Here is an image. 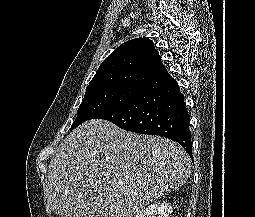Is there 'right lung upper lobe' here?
Segmentation results:
<instances>
[{"instance_id":"1","label":"right lung upper lobe","mask_w":255,"mask_h":217,"mask_svg":"<svg viewBox=\"0 0 255 217\" xmlns=\"http://www.w3.org/2000/svg\"><path fill=\"white\" fill-rule=\"evenodd\" d=\"M167 74L153 42L136 38L120 45L102 62L86 91L109 85L147 86Z\"/></svg>"}]
</instances>
